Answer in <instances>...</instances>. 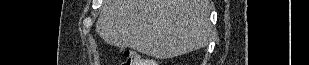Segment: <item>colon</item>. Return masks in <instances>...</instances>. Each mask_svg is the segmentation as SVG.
<instances>
[{"mask_svg": "<svg viewBox=\"0 0 309 65\" xmlns=\"http://www.w3.org/2000/svg\"><path fill=\"white\" fill-rule=\"evenodd\" d=\"M153 61L142 59L136 52L130 51L126 53L122 65H154Z\"/></svg>", "mask_w": 309, "mask_h": 65, "instance_id": "obj_1", "label": "colon"}]
</instances>
